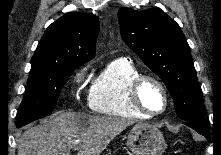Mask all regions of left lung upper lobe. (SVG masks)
<instances>
[{
    "instance_id": "obj_1",
    "label": "left lung upper lobe",
    "mask_w": 221,
    "mask_h": 155,
    "mask_svg": "<svg viewBox=\"0 0 221 155\" xmlns=\"http://www.w3.org/2000/svg\"><path fill=\"white\" fill-rule=\"evenodd\" d=\"M122 39L165 83L182 121L205 123L202 90L179 25L159 8L118 11Z\"/></svg>"
}]
</instances>
